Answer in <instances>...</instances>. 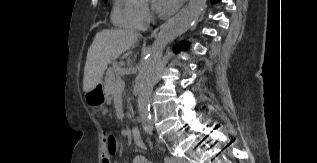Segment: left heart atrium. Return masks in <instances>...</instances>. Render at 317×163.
I'll return each instance as SVG.
<instances>
[{
	"label": "left heart atrium",
	"mask_w": 317,
	"mask_h": 163,
	"mask_svg": "<svg viewBox=\"0 0 317 163\" xmlns=\"http://www.w3.org/2000/svg\"><path fill=\"white\" fill-rule=\"evenodd\" d=\"M182 0H154L156 10L164 15L171 14L181 4Z\"/></svg>",
	"instance_id": "left-heart-atrium-1"
}]
</instances>
